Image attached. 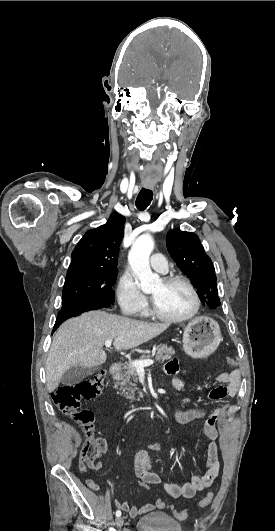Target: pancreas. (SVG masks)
<instances>
[{"mask_svg":"<svg viewBox=\"0 0 275 531\" xmlns=\"http://www.w3.org/2000/svg\"><path fill=\"white\" fill-rule=\"evenodd\" d=\"M155 359L156 361H168L172 355H175L173 347H167V345H158L155 347ZM152 355H142L138 361H146L150 359ZM119 369L114 373L113 379L116 381L115 387H119V391H122V397L131 399V401H139L140 397H136V393L141 395L136 383H138V373L133 365H126V363H119Z\"/></svg>","mask_w":275,"mask_h":531,"instance_id":"pancreas-1","label":"pancreas"}]
</instances>
